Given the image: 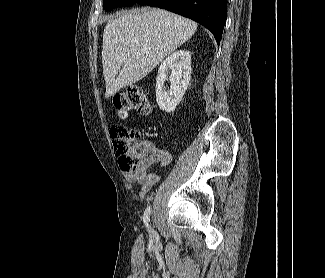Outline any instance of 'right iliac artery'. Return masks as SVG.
<instances>
[{"label":"right iliac artery","instance_id":"82829eb1","mask_svg":"<svg viewBox=\"0 0 325 278\" xmlns=\"http://www.w3.org/2000/svg\"><path fill=\"white\" fill-rule=\"evenodd\" d=\"M150 212H151V207L149 206V207H147V209L145 210V212H144V216H143V222H144V224H145V226H146V228L148 229L149 232H151V229H150V223H149V221H150V219H149V217H150Z\"/></svg>","mask_w":325,"mask_h":278}]
</instances>
